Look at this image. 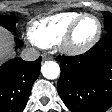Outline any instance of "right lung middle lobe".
I'll use <instances>...</instances> for the list:
<instances>
[{
  "instance_id": "1",
  "label": "right lung middle lobe",
  "mask_w": 112,
  "mask_h": 112,
  "mask_svg": "<svg viewBox=\"0 0 112 112\" xmlns=\"http://www.w3.org/2000/svg\"><path fill=\"white\" fill-rule=\"evenodd\" d=\"M17 22L18 20L14 16H8V15L1 16L0 15V26L5 27L11 32H15L16 30L15 25Z\"/></svg>"
}]
</instances>
